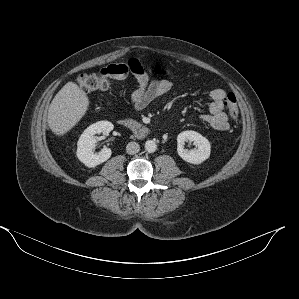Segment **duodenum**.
Instances as JSON below:
<instances>
[{
    "label": "duodenum",
    "instance_id": "duodenum-1",
    "mask_svg": "<svg viewBox=\"0 0 299 299\" xmlns=\"http://www.w3.org/2000/svg\"><path fill=\"white\" fill-rule=\"evenodd\" d=\"M119 123L130 130L135 136L145 138L150 135V130L136 121L130 119H122Z\"/></svg>",
    "mask_w": 299,
    "mask_h": 299
}]
</instances>
